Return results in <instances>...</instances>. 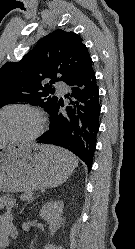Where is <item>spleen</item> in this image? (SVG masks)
I'll list each match as a JSON object with an SVG mask.
<instances>
[{
    "mask_svg": "<svg viewBox=\"0 0 135 249\" xmlns=\"http://www.w3.org/2000/svg\"><path fill=\"white\" fill-rule=\"evenodd\" d=\"M58 154L59 156H61L64 160L69 159L73 162L74 166L76 167L78 165V160L77 158L71 154L68 151L62 150V149H58Z\"/></svg>",
    "mask_w": 135,
    "mask_h": 249,
    "instance_id": "obj_1",
    "label": "spleen"
}]
</instances>
